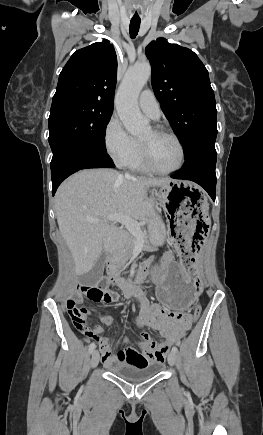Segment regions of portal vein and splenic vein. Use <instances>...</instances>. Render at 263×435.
Returning a JSON list of instances; mask_svg holds the SVG:
<instances>
[{"label":"portal vein and splenic vein","instance_id":"1","mask_svg":"<svg viewBox=\"0 0 263 435\" xmlns=\"http://www.w3.org/2000/svg\"><path fill=\"white\" fill-rule=\"evenodd\" d=\"M106 220L121 223L138 239H144V234L141 230L140 224L131 217L124 214H115L108 216ZM88 221L93 224L100 222V220L97 219H88Z\"/></svg>","mask_w":263,"mask_h":435}]
</instances>
